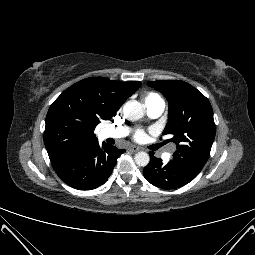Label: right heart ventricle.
<instances>
[{"mask_svg": "<svg viewBox=\"0 0 255 255\" xmlns=\"http://www.w3.org/2000/svg\"><path fill=\"white\" fill-rule=\"evenodd\" d=\"M143 100L145 102V105L148 106L158 100H162L160 96L154 92H148L143 96Z\"/></svg>", "mask_w": 255, "mask_h": 255, "instance_id": "1", "label": "right heart ventricle"}]
</instances>
